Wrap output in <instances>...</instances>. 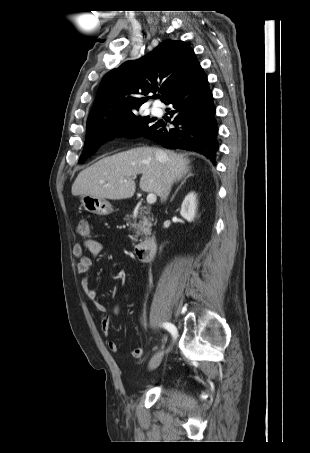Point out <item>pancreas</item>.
<instances>
[{
	"instance_id": "pancreas-1",
	"label": "pancreas",
	"mask_w": 310,
	"mask_h": 453,
	"mask_svg": "<svg viewBox=\"0 0 310 453\" xmlns=\"http://www.w3.org/2000/svg\"><path fill=\"white\" fill-rule=\"evenodd\" d=\"M148 211H145L144 208H140L139 211L137 210L133 214H127L124 218V220L127 222V225L130 227V229H133L135 235L132 236V240L134 242L138 241V237L140 235H149L150 234V228L152 226L151 219L150 217H147ZM137 219L139 221L137 222Z\"/></svg>"
}]
</instances>
